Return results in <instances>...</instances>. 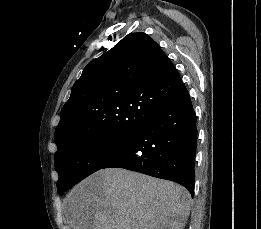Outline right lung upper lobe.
Segmentation results:
<instances>
[{
    "label": "right lung upper lobe",
    "instance_id": "1",
    "mask_svg": "<svg viewBox=\"0 0 261 229\" xmlns=\"http://www.w3.org/2000/svg\"><path fill=\"white\" fill-rule=\"evenodd\" d=\"M182 84L160 46L131 33L84 68L61 110L56 145L85 135L135 136Z\"/></svg>",
    "mask_w": 261,
    "mask_h": 229
}]
</instances>
